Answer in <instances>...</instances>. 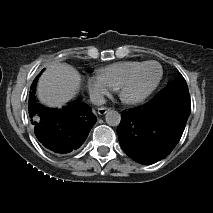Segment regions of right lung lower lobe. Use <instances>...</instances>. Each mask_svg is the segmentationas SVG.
<instances>
[{"mask_svg": "<svg viewBox=\"0 0 213 213\" xmlns=\"http://www.w3.org/2000/svg\"><path fill=\"white\" fill-rule=\"evenodd\" d=\"M36 82L37 78L32 86L28 108L38 140L57 153L79 148L97 120L91 108L80 99L62 109L45 107L35 97Z\"/></svg>", "mask_w": 213, "mask_h": 213, "instance_id": "1", "label": "right lung lower lobe"}]
</instances>
